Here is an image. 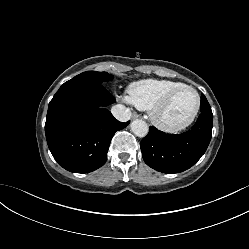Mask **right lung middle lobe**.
<instances>
[{"label":"right lung middle lobe","mask_w":249,"mask_h":249,"mask_svg":"<svg viewBox=\"0 0 249 249\" xmlns=\"http://www.w3.org/2000/svg\"><path fill=\"white\" fill-rule=\"evenodd\" d=\"M74 79H88L93 83L103 84L106 81H111L113 76L107 72L86 71L77 75Z\"/></svg>","instance_id":"right-lung-middle-lobe-1"}]
</instances>
